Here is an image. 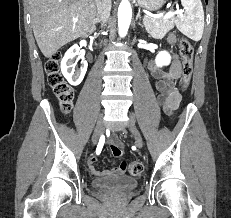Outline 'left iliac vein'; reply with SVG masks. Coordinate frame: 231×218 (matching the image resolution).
Listing matches in <instances>:
<instances>
[{"mask_svg":"<svg viewBox=\"0 0 231 218\" xmlns=\"http://www.w3.org/2000/svg\"><path fill=\"white\" fill-rule=\"evenodd\" d=\"M127 127L135 137L136 146L141 149L143 147V141H142V138L140 136L139 131L137 130V128L135 126V121H134L133 118L130 119V121L128 122Z\"/></svg>","mask_w":231,"mask_h":218,"instance_id":"1","label":"left iliac vein"}]
</instances>
